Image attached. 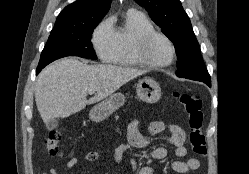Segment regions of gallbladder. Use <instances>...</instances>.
Here are the masks:
<instances>
[{
    "label": "gallbladder",
    "mask_w": 249,
    "mask_h": 174,
    "mask_svg": "<svg viewBox=\"0 0 249 174\" xmlns=\"http://www.w3.org/2000/svg\"><path fill=\"white\" fill-rule=\"evenodd\" d=\"M58 125V121L57 119H50L47 123H46V127L48 130H52L54 128H56Z\"/></svg>",
    "instance_id": "gallbladder-1"
}]
</instances>
